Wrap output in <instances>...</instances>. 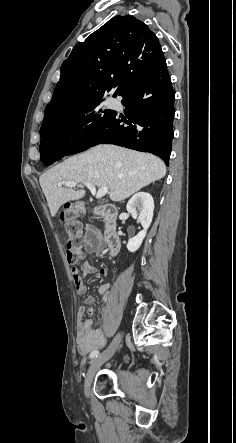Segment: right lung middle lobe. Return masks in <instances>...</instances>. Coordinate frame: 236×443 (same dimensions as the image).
Masks as SVG:
<instances>
[{
	"mask_svg": "<svg viewBox=\"0 0 236 443\" xmlns=\"http://www.w3.org/2000/svg\"><path fill=\"white\" fill-rule=\"evenodd\" d=\"M101 99L95 98L78 108L43 120L40 149L44 146L69 145L107 119L113 111H103L99 106Z\"/></svg>",
	"mask_w": 236,
	"mask_h": 443,
	"instance_id": "obj_1",
	"label": "right lung middle lobe"
}]
</instances>
